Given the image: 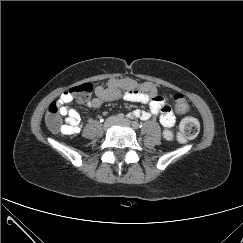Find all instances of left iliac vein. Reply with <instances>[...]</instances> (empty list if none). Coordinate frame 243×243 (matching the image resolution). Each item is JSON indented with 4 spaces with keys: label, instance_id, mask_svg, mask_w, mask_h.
<instances>
[{
    "label": "left iliac vein",
    "instance_id": "obj_1",
    "mask_svg": "<svg viewBox=\"0 0 243 243\" xmlns=\"http://www.w3.org/2000/svg\"><path fill=\"white\" fill-rule=\"evenodd\" d=\"M116 123H118V124H124V125H128V126L134 127L133 124L128 119L117 120Z\"/></svg>",
    "mask_w": 243,
    "mask_h": 243
}]
</instances>
